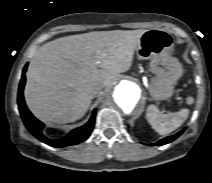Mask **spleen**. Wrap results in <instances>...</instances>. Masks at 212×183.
<instances>
[{"label": "spleen", "instance_id": "1", "mask_svg": "<svg viewBox=\"0 0 212 183\" xmlns=\"http://www.w3.org/2000/svg\"><path fill=\"white\" fill-rule=\"evenodd\" d=\"M189 112V109L184 108L178 112L162 114L156 106L150 105L146 111V118L157 133L165 135L179 128L188 118Z\"/></svg>", "mask_w": 212, "mask_h": 183}]
</instances>
